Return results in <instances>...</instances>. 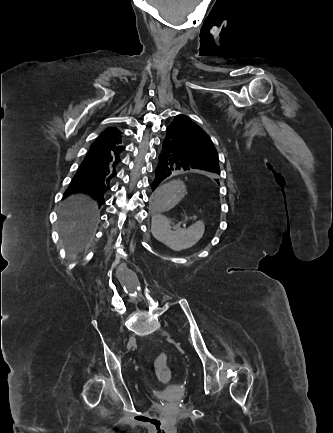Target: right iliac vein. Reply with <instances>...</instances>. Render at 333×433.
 Returning <instances> with one entry per match:
<instances>
[{
    "instance_id": "1",
    "label": "right iliac vein",
    "mask_w": 333,
    "mask_h": 433,
    "mask_svg": "<svg viewBox=\"0 0 333 433\" xmlns=\"http://www.w3.org/2000/svg\"><path fill=\"white\" fill-rule=\"evenodd\" d=\"M136 343V338L135 336H131L129 338L128 344H127V348L130 349L134 344Z\"/></svg>"
}]
</instances>
